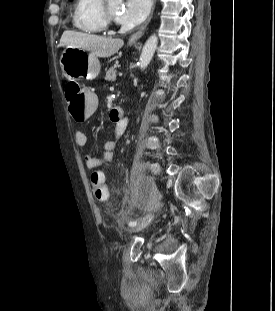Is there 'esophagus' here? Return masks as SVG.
<instances>
[{
	"label": "esophagus",
	"mask_w": 275,
	"mask_h": 311,
	"mask_svg": "<svg viewBox=\"0 0 275 311\" xmlns=\"http://www.w3.org/2000/svg\"><path fill=\"white\" fill-rule=\"evenodd\" d=\"M155 4H156V0H153V6H152V11H151V14L148 18V20L146 21V23L136 32L134 33L130 39H129V43H135L136 41H138V39L143 35L148 23L150 22L152 16H153V12H154V9H155Z\"/></svg>",
	"instance_id": "esophagus-1"
}]
</instances>
